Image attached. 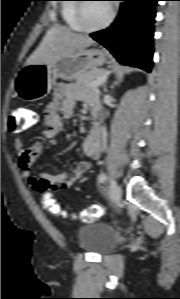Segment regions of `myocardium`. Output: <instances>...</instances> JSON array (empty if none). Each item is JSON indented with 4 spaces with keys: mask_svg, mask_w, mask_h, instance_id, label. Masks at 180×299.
<instances>
[{
    "mask_svg": "<svg viewBox=\"0 0 180 299\" xmlns=\"http://www.w3.org/2000/svg\"><path fill=\"white\" fill-rule=\"evenodd\" d=\"M79 1L80 2H78L76 4L75 19H76V22L78 23L80 30L82 32H85V33L98 32V31H101V30L107 28L112 23V21L115 17V8L112 4H109L110 10H109V14H108L107 18L105 19V21L97 26H87L85 24V19H84V15H83L85 3L82 1H85V0H79Z\"/></svg>",
    "mask_w": 180,
    "mask_h": 299,
    "instance_id": "f54148a6",
    "label": "myocardium"
}]
</instances>
